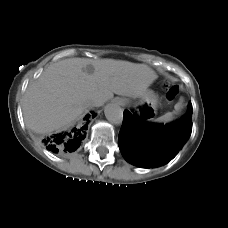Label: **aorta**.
<instances>
[{"mask_svg":"<svg viewBox=\"0 0 228 228\" xmlns=\"http://www.w3.org/2000/svg\"><path fill=\"white\" fill-rule=\"evenodd\" d=\"M105 116L107 120L115 125L122 124L123 121V111L121 107L116 103H110L106 105L104 109Z\"/></svg>","mask_w":228,"mask_h":228,"instance_id":"762f6f07","label":"aorta"}]
</instances>
